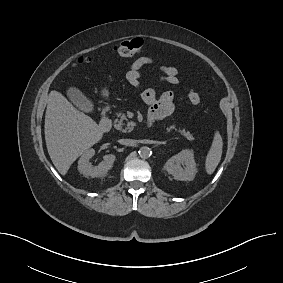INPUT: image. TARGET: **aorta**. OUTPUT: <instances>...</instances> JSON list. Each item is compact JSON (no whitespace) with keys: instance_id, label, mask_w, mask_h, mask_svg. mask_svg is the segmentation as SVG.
<instances>
[{"instance_id":"1","label":"aorta","mask_w":283,"mask_h":283,"mask_svg":"<svg viewBox=\"0 0 283 283\" xmlns=\"http://www.w3.org/2000/svg\"><path fill=\"white\" fill-rule=\"evenodd\" d=\"M139 156L143 159H147L151 156V149L147 146H142L139 151Z\"/></svg>"}]
</instances>
